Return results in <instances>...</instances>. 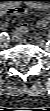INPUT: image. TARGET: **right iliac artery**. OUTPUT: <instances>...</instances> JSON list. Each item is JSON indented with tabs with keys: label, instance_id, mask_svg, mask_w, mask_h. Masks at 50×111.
I'll list each match as a JSON object with an SVG mask.
<instances>
[{
	"label": "right iliac artery",
	"instance_id": "1",
	"mask_svg": "<svg viewBox=\"0 0 50 111\" xmlns=\"http://www.w3.org/2000/svg\"><path fill=\"white\" fill-rule=\"evenodd\" d=\"M0 36H1V37H5V36H8V35H7V33L2 32V33L0 34Z\"/></svg>",
	"mask_w": 50,
	"mask_h": 111
}]
</instances>
